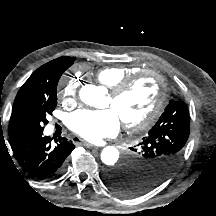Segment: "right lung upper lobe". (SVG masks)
<instances>
[{
	"label": "right lung upper lobe",
	"mask_w": 216,
	"mask_h": 216,
	"mask_svg": "<svg viewBox=\"0 0 216 216\" xmlns=\"http://www.w3.org/2000/svg\"><path fill=\"white\" fill-rule=\"evenodd\" d=\"M75 58L62 56L54 59L35 70L20 88L14 101L9 123V139L14 141L22 132L18 128V121L23 112L41 97L47 96L56 87L64 64H73Z\"/></svg>",
	"instance_id": "right-lung-upper-lobe-1"
}]
</instances>
